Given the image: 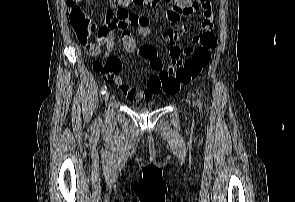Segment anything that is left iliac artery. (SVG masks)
Listing matches in <instances>:
<instances>
[{"label": "left iliac artery", "mask_w": 295, "mask_h": 202, "mask_svg": "<svg viewBox=\"0 0 295 202\" xmlns=\"http://www.w3.org/2000/svg\"><path fill=\"white\" fill-rule=\"evenodd\" d=\"M198 106H199V111L201 112L202 111V103H201L200 99H198Z\"/></svg>", "instance_id": "44dca946"}]
</instances>
